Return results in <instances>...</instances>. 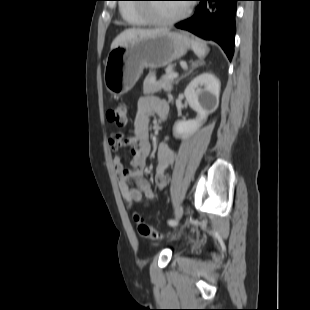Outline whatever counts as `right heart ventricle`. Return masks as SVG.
Instances as JSON below:
<instances>
[{"instance_id": "e07e8e85", "label": "right heart ventricle", "mask_w": 310, "mask_h": 310, "mask_svg": "<svg viewBox=\"0 0 310 310\" xmlns=\"http://www.w3.org/2000/svg\"><path fill=\"white\" fill-rule=\"evenodd\" d=\"M120 13L125 22L130 26H144L150 23L149 18L141 11L131 4H122L120 6Z\"/></svg>"}]
</instances>
